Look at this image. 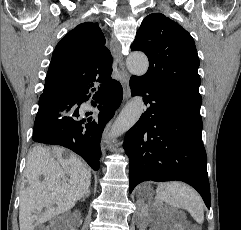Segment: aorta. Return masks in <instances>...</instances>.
Segmentation results:
<instances>
[{
	"instance_id": "aorta-1",
	"label": "aorta",
	"mask_w": 241,
	"mask_h": 230,
	"mask_svg": "<svg viewBox=\"0 0 241 230\" xmlns=\"http://www.w3.org/2000/svg\"><path fill=\"white\" fill-rule=\"evenodd\" d=\"M127 68L134 76H143L149 66L148 58L143 53H131L127 58ZM143 113V100L140 96H135L126 105L114 122L109 133L110 138L118 137L127 132L139 120Z\"/></svg>"
}]
</instances>
